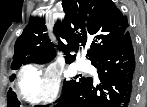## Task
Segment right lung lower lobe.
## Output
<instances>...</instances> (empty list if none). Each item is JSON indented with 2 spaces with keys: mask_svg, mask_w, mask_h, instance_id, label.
<instances>
[{
  "mask_svg": "<svg viewBox=\"0 0 147 107\" xmlns=\"http://www.w3.org/2000/svg\"><path fill=\"white\" fill-rule=\"evenodd\" d=\"M92 65L98 69V76L84 78L54 107H132L137 69L129 31Z\"/></svg>",
  "mask_w": 147,
  "mask_h": 107,
  "instance_id": "98d812e1",
  "label": "right lung lower lobe"
}]
</instances>
